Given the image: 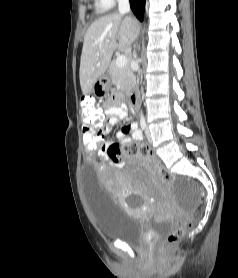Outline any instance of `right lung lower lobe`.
Wrapping results in <instances>:
<instances>
[{"label":"right lung lower lobe","instance_id":"right-lung-lower-lobe-1","mask_svg":"<svg viewBox=\"0 0 238 278\" xmlns=\"http://www.w3.org/2000/svg\"><path fill=\"white\" fill-rule=\"evenodd\" d=\"M130 5L135 16L143 21L144 18V8H145V0H130Z\"/></svg>","mask_w":238,"mask_h":278}]
</instances>
